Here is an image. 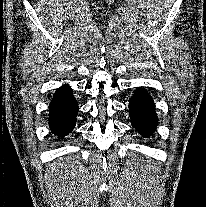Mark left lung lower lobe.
<instances>
[{"label": "left lung lower lobe", "mask_w": 206, "mask_h": 207, "mask_svg": "<svg viewBox=\"0 0 206 207\" xmlns=\"http://www.w3.org/2000/svg\"><path fill=\"white\" fill-rule=\"evenodd\" d=\"M133 127L143 136L151 135L157 125V115L152 98L143 89L136 90L129 102Z\"/></svg>", "instance_id": "0a47b994"}]
</instances>
